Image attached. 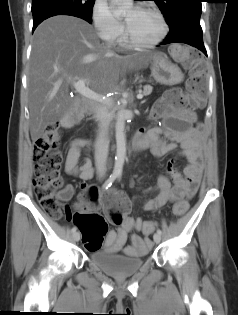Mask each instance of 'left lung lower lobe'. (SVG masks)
<instances>
[{
    "label": "left lung lower lobe",
    "instance_id": "0a47b994",
    "mask_svg": "<svg viewBox=\"0 0 238 315\" xmlns=\"http://www.w3.org/2000/svg\"><path fill=\"white\" fill-rule=\"evenodd\" d=\"M186 43L201 50L206 56L207 52L202 39V28L200 26V17H189L173 30L169 32L162 44Z\"/></svg>",
    "mask_w": 238,
    "mask_h": 315
}]
</instances>
